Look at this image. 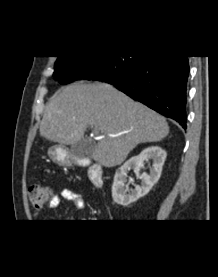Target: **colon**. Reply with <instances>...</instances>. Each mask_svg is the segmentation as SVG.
<instances>
[{
  "label": "colon",
  "instance_id": "obj_1",
  "mask_svg": "<svg viewBox=\"0 0 218 277\" xmlns=\"http://www.w3.org/2000/svg\"><path fill=\"white\" fill-rule=\"evenodd\" d=\"M52 197V190L47 185L36 183L32 184L29 188V199L36 209L44 208Z\"/></svg>",
  "mask_w": 218,
  "mask_h": 277
}]
</instances>
